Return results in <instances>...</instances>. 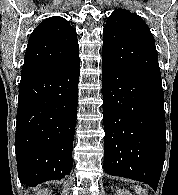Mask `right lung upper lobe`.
Returning <instances> with one entry per match:
<instances>
[{
  "instance_id": "obj_1",
  "label": "right lung upper lobe",
  "mask_w": 178,
  "mask_h": 195,
  "mask_svg": "<svg viewBox=\"0 0 178 195\" xmlns=\"http://www.w3.org/2000/svg\"><path fill=\"white\" fill-rule=\"evenodd\" d=\"M79 63L75 29L62 17H50L29 38L21 78L69 70Z\"/></svg>"
}]
</instances>
